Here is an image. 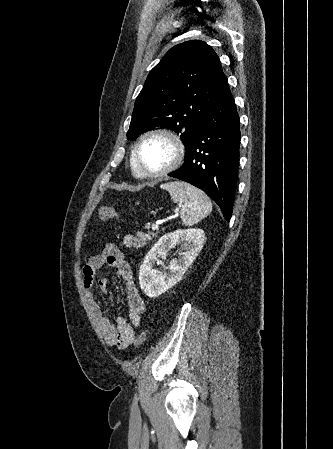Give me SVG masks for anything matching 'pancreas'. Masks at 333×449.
I'll list each match as a JSON object with an SVG mask.
<instances>
[{
  "label": "pancreas",
  "mask_w": 333,
  "mask_h": 449,
  "mask_svg": "<svg viewBox=\"0 0 333 449\" xmlns=\"http://www.w3.org/2000/svg\"><path fill=\"white\" fill-rule=\"evenodd\" d=\"M155 236V233L153 232H138L135 236L133 235H127L123 238V243L126 247H134L136 249L141 248L147 244L148 241L152 239V237Z\"/></svg>",
  "instance_id": "pancreas-1"
}]
</instances>
